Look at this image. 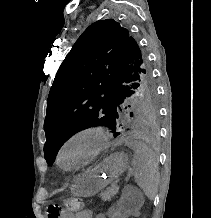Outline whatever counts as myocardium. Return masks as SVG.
Wrapping results in <instances>:
<instances>
[{"mask_svg":"<svg viewBox=\"0 0 211 218\" xmlns=\"http://www.w3.org/2000/svg\"><path fill=\"white\" fill-rule=\"evenodd\" d=\"M83 138H94L97 141V145L89 157L86 160L77 163V166H85L94 161L108 147L110 142V134L104 127L100 125H87L81 127L71 133L61 144L57 154L59 165L63 167L69 166L64 163L65 151L69 145Z\"/></svg>","mask_w":211,"mask_h":218,"instance_id":"obj_1","label":"myocardium"}]
</instances>
